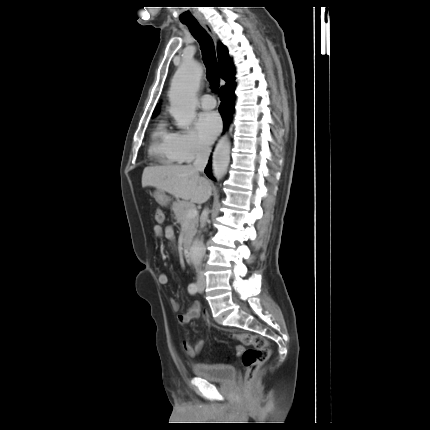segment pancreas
<instances>
[{
    "label": "pancreas",
    "mask_w": 430,
    "mask_h": 430,
    "mask_svg": "<svg viewBox=\"0 0 430 430\" xmlns=\"http://www.w3.org/2000/svg\"><path fill=\"white\" fill-rule=\"evenodd\" d=\"M190 208H193V204L185 201L174 202L172 206L177 223L180 225L186 224L184 242L195 235L199 221L198 215L187 218V212Z\"/></svg>",
    "instance_id": "pancreas-1"
}]
</instances>
